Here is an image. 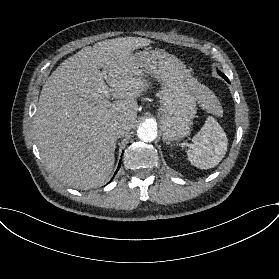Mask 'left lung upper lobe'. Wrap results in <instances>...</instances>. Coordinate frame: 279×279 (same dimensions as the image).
I'll return each instance as SVG.
<instances>
[{
    "mask_svg": "<svg viewBox=\"0 0 279 279\" xmlns=\"http://www.w3.org/2000/svg\"><path fill=\"white\" fill-rule=\"evenodd\" d=\"M218 74H219L221 77H223L226 81H228V82H229L228 78H227V77H226L223 73L218 72Z\"/></svg>",
    "mask_w": 279,
    "mask_h": 279,
    "instance_id": "left-lung-upper-lobe-1",
    "label": "left lung upper lobe"
}]
</instances>
